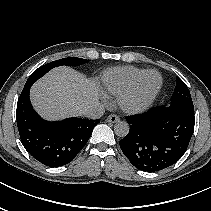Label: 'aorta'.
Wrapping results in <instances>:
<instances>
[{"label": "aorta", "mask_w": 211, "mask_h": 211, "mask_svg": "<svg viewBox=\"0 0 211 211\" xmlns=\"http://www.w3.org/2000/svg\"><path fill=\"white\" fill-rule=\"evenodd\" d=\"M114 132L119 137H125L129 133V125L127 122L119 121L114 126Z\"/></svg>", "instance_id": "aorta-1"}]
</instances>
